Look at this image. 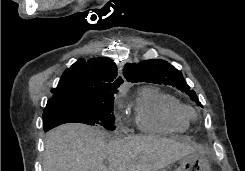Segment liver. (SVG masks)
Here are the masks:
<instances>
[{"instance_id":"1","label":"liver","mask_w":245,"mask_h":171,"mask_svg":"<svg viewBox=\"0 0 245 171\" xmlns=\"http://www.w3.org/2000/svg\"><path fill=\"white\" fill-rule=\"evenodd\" d=\"M105 138L103 131L84 124L57 127L47 134L43 171H158L198 150L187 142L149 135L108 143Z\"/></svg>"}]
</instances>
